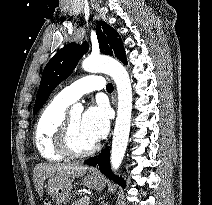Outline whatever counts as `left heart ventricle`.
<instances>
[{
  "label": "left heart ventricle",
  "mask_w": 212,
  "mask_h": 205,
  "mask_svg": "<svg viewBox=\"0 0 212 205\" xmlns=\"http://www.w3.org/2000/svg\"><path fill=\"white\" fill-rule=\"evenodd\" d=\"M70 140L74 149L85 150L95 142L88 136L82 125V115L74 113L70 115Z\"/></svg>",
  "instance_id": "left-heart-ventricle-1"
}]
</instances>
